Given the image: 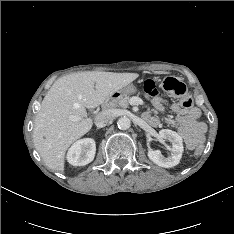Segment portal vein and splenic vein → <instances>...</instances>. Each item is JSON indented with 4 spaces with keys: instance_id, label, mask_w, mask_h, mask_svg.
I'll return each instance as SVG.
<instances>
[{
    "instance_id": "1",
    "label": "portal vein and splenic vein",
    "mask_w": 234,
    "mask_h": 234,
    "mask_svg": "<svg viewBox=\"0 0 234 234\" xmlns=\"http://www.w3.org/2000/svg\"><path fill=\"white\" fill-rule=\"evenodd\" d=\"M69 118H70V120H72V121H77V120L80 119V117H78V116H70Z\"/></svg>"
}]
</instances>
